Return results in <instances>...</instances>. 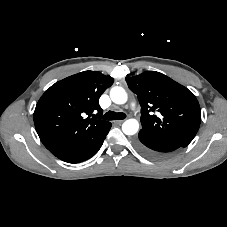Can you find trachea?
Segmentation results:
<instances>
[{"label": "trachea", "instance_id": "trachea-1", "mask_svg": "<svg viewBox=\"0 0 227 227\" xmlns=\"http://www.w3.org/2000/svg\"><path fill=\"white\" fill-rule=\"evenodd\" d=\"M103 118L105 120H123L126 118V114L122 112L109 111L103 116Z\"/></svg>", "mask_w": 227, "mask_h": 227}]
</instances>
